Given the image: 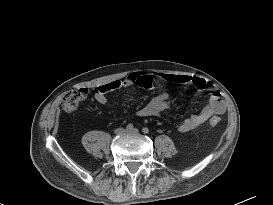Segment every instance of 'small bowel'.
<instances>
[{
	"instance_id": "1",
	"label": "small bowel",
	"mask_w": 273,
	"mask_h": 205,
	"mask_svg": "<svg viewBox=\"0 0 273 205\" xmlns=\"http://www.w3.org/2000/svg\"><path fill=\"white\" fill-rule=\"evenodd\" d=\"M161 83H179L188 84L195 89L205 90L209 94V103L199 113L192 114L178 125L181 132H188L205 123L210 117L222 115L226 110L225 101L221 93L209 82L204 79L177 73H158L144 76L139 72H133L123 79H115L97 86L94 89L96 101L105 105L107 103V94L114 90L137 86L143 89H150L156 84ZM169 108V94L160 93L150 99L143 107L138 110L140 116H154Z\"/></svg>"
}]
</instances>
